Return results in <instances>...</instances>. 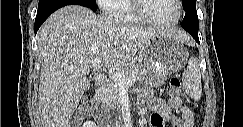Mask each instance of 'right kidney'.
I'll return each mask as SVG.
<instances>
[{
    "instance_id": "obj_1",
    "label": "right kidney",
    "mask_w": 243,
    "mask_h": 127,
    "mask_svg": "<svg viewBox=\"0 0 243 127\" xmlns=\"http://www.w3.org/2000/svg\"><path fill=\"white\" fill-rule=\"evenodd\" d=\"M83 127H96V124L92 121H86L84 124H83Z\"/></svg>"
}]
</instances>
